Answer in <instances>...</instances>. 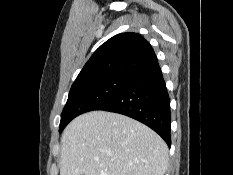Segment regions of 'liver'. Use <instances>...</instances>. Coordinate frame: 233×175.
I'll return each instance as SVG.
<instances>
[{
  "label": "liver",
  "mask_w": 233,
  "mask_h": 175,
  "mask_svg": "<svg viewBox=\"0 0 233 175\" xmlns=\"http://www.w3.org/2000/svg\"><path fill=\"white\" fill-rule=\"evenodd\" d=\"M167 166L163 139L125 115L82 114L61 137L60 175H164Z\"/></svg>",
  "instance_id": "liver-1"
}]
</instances>
